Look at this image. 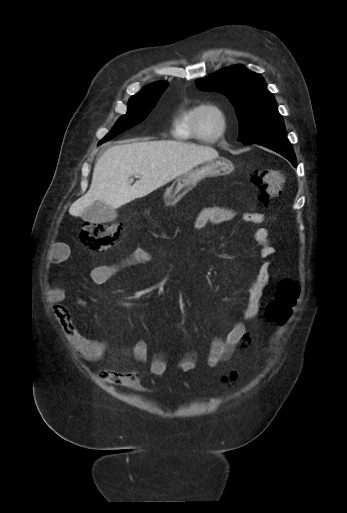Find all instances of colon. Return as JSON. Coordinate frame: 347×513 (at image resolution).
I'll list each match as a JSON object with an SVG mask.
<instances>
[{
    "label": "colon",
    "instance_id": "obj_1",
    "mask_svg": "<svg viewBox=\"0 0 347 513\" xmlns=\"http://www.w3.org/2000/svg\"><path fill=\"white\" fill-rule=\"evenodd\" d=\"M250 181L258 191L260 201L267 202L278 195L283 184V174L279 170L261 169L250 173ZM80 239L95 250H107L118 243L122 236L119 223L85 222L80 227ZM301 294V284L292 278L281 279L275 290L273 299L267 305L266 318L275 324L282 325L290 318ZM231 379H235L232 374Z\"/></svg>",
    "mask_w": 347,
    "mask_h": 513
}]
</instances>
